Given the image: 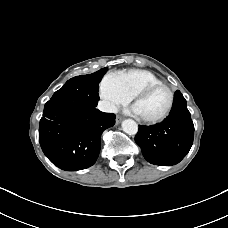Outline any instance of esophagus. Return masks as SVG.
Returning <instances> with one entry per match:
<instances>
[{"mask_svg": "<svg viewBox=\"0 0 228 228\" xmlns=\"http://www.w3.org/2000/svg\"><path fill=\"white\" fill-rule=\"evenodd\" d=\"M121 121H122V117L117 116V117H116V123L119 124Z\"/></svg>", "mask_w": 228, "mask_h": 228, "instance_id": "34e87169", "label": "esophagus"}]
</instances>
